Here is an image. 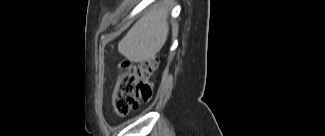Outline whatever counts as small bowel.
Listing matches in <instances>:
<instances>
[{
  "instance_id": "small-bowel-1",
  "label": "small bowel",
  "mask_w": 325,
  "mask_h": 136,
  "mask_svg": "<svg viewBox=\"0 0 325 136\" xmlns=\"http://www.w3.org/2000/svg\"><path fill=\"white\" fill-rule=\"evenodd\" d=\"M120 66L121 67H118V70H125V65L123 63ZM126 70H129V67H126ZM117 78H120V75H117Z\"/></svg>"
}]
</instances>
